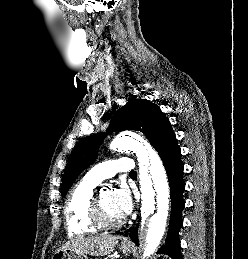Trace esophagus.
Instances as JSON below:
<instances>
[{"label":"esophagus","instance_id":"esophagus-1","mask_svg":"<svg viewBox=\"0 0 248 259\" xmlns=\"http://www.w3.org/2000/svg\"><path fill=\"white\" fill-rule=\"evenodd\" d=\"M124 243H125V244H130V241L127 240V239H125V240H124Z\"/></svg>","mask_w":248,"mask_h":259}]
</instances>
